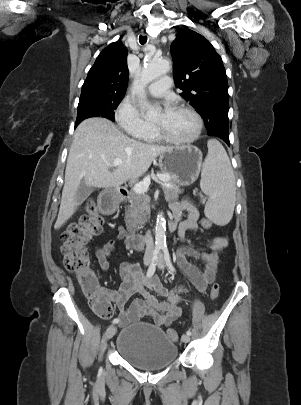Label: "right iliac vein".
<instances>
[{
	"label": "right iliac vein",
	"mask_w": 301,
	"mask_h": 405,
	"mask_svg": "<svg viewBox=\"0 0 301 405\" xmlns=\"http://www.w3.org/2000/svg\"><path fill=\"white\" fill-rule=\"evenodd\" d=\"M150 260H151L150 256L145 257V259H144V264H145L146 266L149 265ZM116 331H117L116 326H114V325L109 326V327L107 328V330H106V333H105V339H106V340L111 339V338L115 335Z\"/></svg>",
	"instance_id": "1"
}]
</instances>
